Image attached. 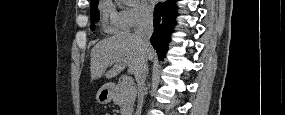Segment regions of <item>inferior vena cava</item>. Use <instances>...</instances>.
<instances>
[{
  "instance_id": "1",
  "label": "inferior vena cava",
  "mask_w": 285,
  "mask_h": 115,
  "mask_svg": "<svg viewBox=\"0 0 285 115\" xmlns=\"http://www.w3.org/2000/svg\"><path fill=\"white\" fill-rule=\"evenodd\" d=\"M153 33V15L143 14L137 23L135 28L134 37L140 43L142 47L143 57L139 65L138 70L135 73V79L138 84V90H135V101L137 109L133 112V115L142 114L144 110L145 102H143L144 90H145V79L147 72V61H148V50L151 47L150 37Z\"/></svg>"
}]
</instances>
